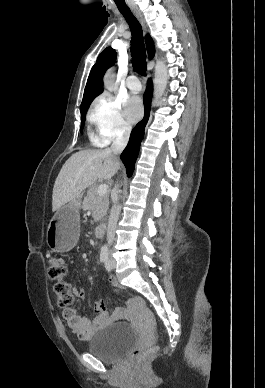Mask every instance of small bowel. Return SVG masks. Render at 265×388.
I'll return each mask as SVG.
<instances>
[{"mask_svg":"<svg viewBox=\"0 0 265 388\" xmlns=\"http://www.w3.org/2000/svg\"><path fill=\"white\" fill-rule=\"evenodd\" d=\"M109 283L117 289L121 288L116 279L112 276L109 278ZM73 293L78 299H83L85 297V291L82 288L73 287ZM95 311L94 317L92 319H87L80 317L75 309L67 307L63 309L62 317L66 321L67 328L82 340L92 338L103 326L122 317L119 312L109 314L106 302L96 303Z\"/></svg>","mask_w":265,"mask_h":388,"instance_id":"obj_1","label":"small bowel"}]
</instances>
